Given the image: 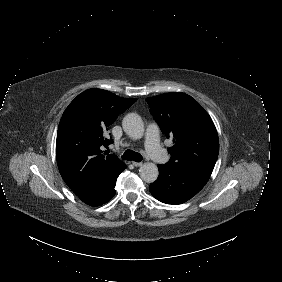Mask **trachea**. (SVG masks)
I'll return each instance as SVG.
<instances>
[{"label": "trachea", "mask_w": 282, "mask_h": 282, "mask_svg": "<svg viewBox=\"0 0 282 282\" xmlns=\"http://www.w3.org/2000/svg\"><path fill=\"white\" fill-rule=\"evenodd\" d=\"M122 158L127 161H135V162H140L142 160L141 154L132 150H126Z\"/></svg>", "instance_id": "3493384b"}]
</instances>
